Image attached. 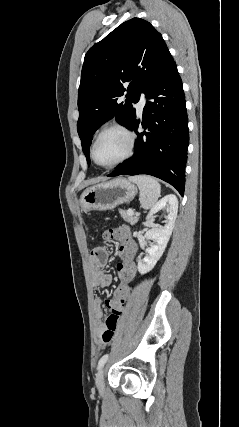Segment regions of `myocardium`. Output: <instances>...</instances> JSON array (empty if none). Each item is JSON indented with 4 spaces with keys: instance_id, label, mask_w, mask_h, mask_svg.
Wrapping results in <instances>:
<instances>
[{
    "instance_id": "obj_1",
    "label": "myocardium",
    "mask_w": 239,
    "mask_h": 427,
    "mask_svg": "<svg viewBox=\"0 0 239 427\" xmlns=\"http://www.w3.org/2000/svg\"><path fill=\"white\" fill-rule=\"evenodd\" d=\"M112 130H117L122 132L123 134L126 135L127 139H128V148L126 153L124 154L123 157H121L119 160H117L116 162L109 164V165H103L97 162L96 158H95V147L99 141V139L101 138V136L108 132V131H112ZM135 145H136V135L135 133L128 128L126 125L122 124V123H112L109 124L107 126H105L104 128H102L98 134L96 135L91 149H90V156L92 161L99 167L104 168V169H112L115 168L119 165H121L122 163L126 162L129 158L132 157L134 150H135Z\"/></svg>"
}]
</instances>
